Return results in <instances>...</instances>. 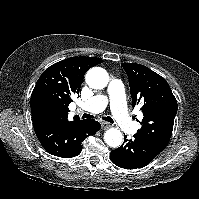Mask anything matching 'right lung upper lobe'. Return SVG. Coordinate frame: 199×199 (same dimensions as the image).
I'll use <instances>...</instances> for the list:
<instances>
[{"label": "right lung upper lobe", "instance_id": "1", "mask_svg": "<svg viewBox=\"0 0 199 199\" xmlns=\"http://www.w3.org/2000/svg\"><path fill=\"white\" fill-rule=\"evenodd\" d=\"M101 62L95 57H71L47 68L31 94L33 124L43 121L73 122L67 118L72 96L79 93L86 71ZM76 120L80 119L75 117Z\"/></svg>", "mask_w": 199, "mask_h": 199}]
</instances>
